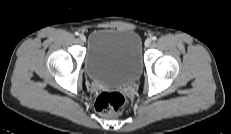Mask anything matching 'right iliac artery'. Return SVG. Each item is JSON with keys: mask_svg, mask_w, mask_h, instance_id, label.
Instances as JSON below:
<instances>
[{"mask_svg": "<svg viewBox=\"0 0 231 134\" xmlns=\"http://www.w3.org/2000/svg\"><path fill=\"white\" fill-rule=\"evenodd\" d=\"M75 35L78 36V35H79V32H75Z\"/></svg>", "mask_w": 231, "mask_h": 134, "instance_id": "obj_1", "label": "right iliac artery"}]
</instances>
